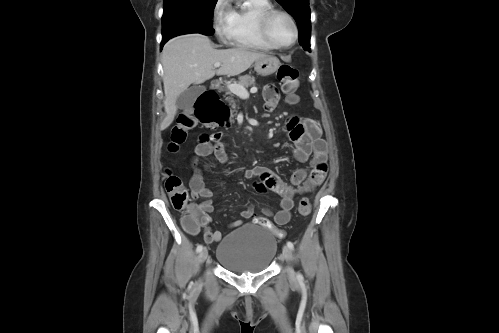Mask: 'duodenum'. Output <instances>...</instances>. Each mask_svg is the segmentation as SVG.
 Masks as SVG:
<instances>
[{"label": "duodenum", "mask_w": 499, "mask_h": 333, "mask_svg": "<svg viewBox=\"0 0 499 333\" xmlns=\"http://www.w3.org/2000/svg\"><path fill=\"white\" fill-rule=\"evenodd\" d=\"M216 88L217 85L214 84L207 92L209 91L215 92ZM207 92L201 95L197 100L196 112L198 117L200 118H212L213 116L217 115L215 111V106L207 101Z\"/></svg>", "instance_id": "duodenum-1"}]
</instances>
